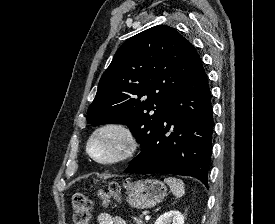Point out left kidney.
Returning <instances> with one entry per match:
<instances>
[{
    "instance_id": "obj_1",
    "label": "left kidney",
    "mask_w": 275,
    "mask_h": 224,
    "mask_svg": "<svg viewBox=\"0 0 275 224\" xmlns=\"http://www.w3.org/2000/svg\"><path fill=\"white\" fill-rule=\"evenodd\" d=\"M154 224H184V216L176 210L161 215Z\"/></svg>"
}]
</instances>
